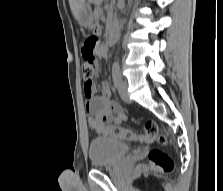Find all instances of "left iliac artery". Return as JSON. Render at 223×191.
Masks as SVG:
<instances>
[{
	"instance_id": "obj_1",
	"label": "left iliac artery",
	"mask_w": 223,
	"mask_h": 191,
	"mask_svg": "<svg viewBox=\"0 0 223 191\" xmlns=\"http://www.w3.org/2000/svg\"><path fill=\"white\" fill-rule=\"evenodd\" d=\"M120 80H121L120 68L118 64H115L113 66V81L116 88L119 86Z\"/></svg>"
}]
</instances>
